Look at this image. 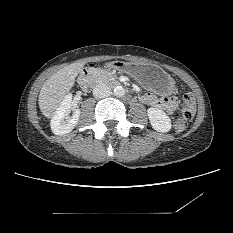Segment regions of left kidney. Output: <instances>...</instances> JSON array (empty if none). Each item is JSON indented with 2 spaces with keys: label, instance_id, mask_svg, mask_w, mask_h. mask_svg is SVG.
I'll use <instances>...</instances> for the list:
<instances>
[{
  "label": "left kidney",
  "instance_id": "1",
  "mask_svg": "<svg viewBox=\"0 0 233 233\" xmlns=\"http://www.w3.org/2000/svg\"><path fill=\"white\" fill-rule=\"evenodd\" d=\"M148 118L152 127L158 132H169L171 129V120L167 114L158 108H149L147 110Z\"/></svg>",
  "mask_w": 233,
  "mask_h": 233
}]
</instances>
